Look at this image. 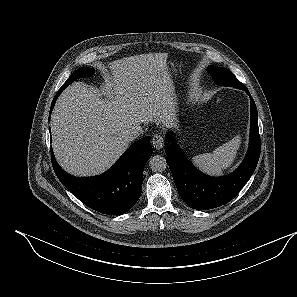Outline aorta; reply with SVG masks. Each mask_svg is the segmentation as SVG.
I'll list each match as a JSON object with an SVG mask.
<instances>
[{
  "instance_id": "1",
  "label": "aorta",
  "mask_w": 297,
  "mask_h": 297,
  "mask_svg": "<svg viewBox=\"0 0 297 297\" xmlns=\"http://www.w3.org/2000/svg\"><path fill=\"white\" fill-rule=\"evenodd\" d=\"M149 167L154 172H162L167 167L166 159L160 155H155L150 158Z\"/></svg>"
}]
</instances>
